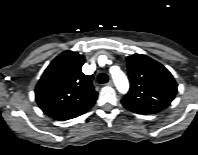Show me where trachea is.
<instances>
[{
	"label": "trachea",
	"mask_w": 198,
	"mask_h": 155,
	"mask_svg": "<svg viewBox=\"0 0 198 155\" xmlns=\"http://www.w3.org/2000/svg\"><path fill=\"white\" fill-rule=\"evenodd\" d=\"M97 79L100 84H105L108 82V76L105 73L99 74Z\"/></svg>",
	"instance_id": "1"
}]
</instances>
